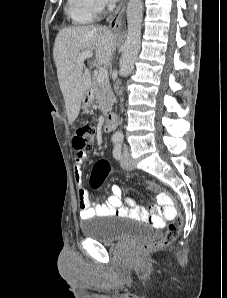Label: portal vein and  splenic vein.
<instances>
[{"mask_svg": "<svg viewBox=\"0 0 227 298\" xmlns=\"http://www.w3.org/2000/svg\"><path fill=\"white\" fill-rule=\"evenodd\" d=\"M93 57V52L91 51H84L77 57V64L83 65L86 59H90ZM108 78V71L105 68H100L97 75L98 81H104Z\"/></svg>", "mask_w": 227, "mask_h": 298, "instance_id": "obj_1", "label": "portal vein and splenic vein"}]
</instances>
